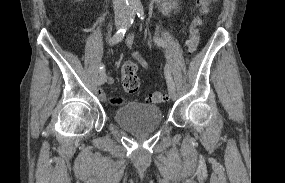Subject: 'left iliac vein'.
Listing matches in <instances>:
<instances>
[{
    "mask_svg": "<svg viewBox=\"0 0 285 183\" xmlns=\"http://www.w3.org/2000/svg\"><path fill=\"white\" fill-rule=\"evenodd\" d=\"M168 90H169L170 98L172 100H175L176 97H177V93H176L175 87L168 86Z\"/></svg>",
    "mask_w": 285,
    "mask_h": 183,
    "instance_id": "left-iliac-vein-1",
    "label": "left iliac vein"
}]
</instances>
